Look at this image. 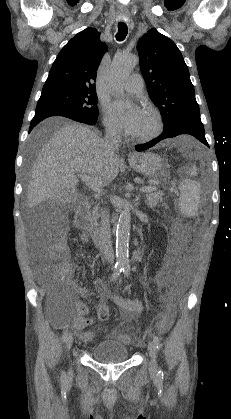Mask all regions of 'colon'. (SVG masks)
I'll return each instance as SVG.
<instances>
[{
    "mask_svg": "<svg viewBox=\"0 0 231 419\" xmlns=\"http://www.w3.org/2000/svg\"><path fill=\"white\" fill-rule=\"evenodd\" d=\"M48 267L46 271L47 281L52 287H57L60 284L68 283L69 278L73 273V267L69 261L70 249L67 242L63 239H58L50 245L47 251ZM163 297H168V292L162 293ZM98 316L101 320L109 318V309L107 306H102L98 309ZM168 315L162 313L158 324V330L163 333L166 330ZM126 342L128 338L123 339Z\"/></svg>",
    "mask_w": 231,
    "mask_h": 419,
    "instance_id": "5ec220e1",
    "label": "colon"
}]
</instances>
